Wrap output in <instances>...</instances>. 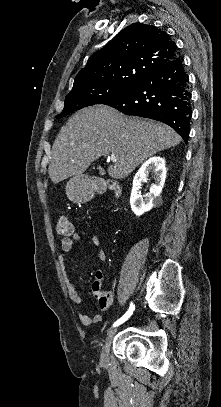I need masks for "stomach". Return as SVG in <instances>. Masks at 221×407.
<instances>
[{"instance_id":"0dacf381","label":"stomach","mask_w":221,"mask_h":407,"mask_svg":"<svg viewBox=\"0 0 221 407\" xmlns=\"http://www.w3.org/2000/svg\"><path fill=\"white\" fill-rule=\"evenodd\" d=\"M66 194L74 203H84L91 199L93 191L83 176H74L66 185Z\"/></svg>"}]
</instances>
